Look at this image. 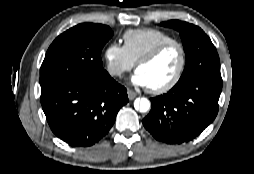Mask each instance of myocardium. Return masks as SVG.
<instances>
[{"label":"myocardium","instance_id":"f54148a6","mask_svg":"<svg viewBox=\"0 0 254 174\" xmlns=\"http://www.w3.org/2000/svg\"><path fill=\"white\" fill-rule=\"evenodd\" d=\"M172 46H176L180 51L181 58H180V64H179L178 70L176 74L174 75V77L168 83L157 88L148 87V91L152 94L159 95V94L166 93L170 91L171 89H173L181 80L186 68V64H187V53H186V49L184 45L177 40H171V41L162 43L156 46L155 48H153L150 52H148L136 63V69H138L140 66L144 64H148L152 62L153 60H155L163 51H165L166 49Z\"/></svg>","mask_w":254,"mask_h":174}]
</instances>
